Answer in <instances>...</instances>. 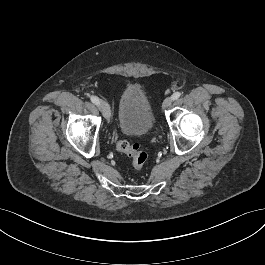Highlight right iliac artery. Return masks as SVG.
Here are the masks:
<instances>
[{"label":"right iliac artery","mask_w":265,"mask_h":265,"mask_svg":"<svg viewBox=\"0 0 265 265\" xmlns=\"http://www.w3.org/2000/svg\"><path fill=\"white\" fill-rule=\"evenodd\" d=\"M90 100L92 103L98 105L99 104V99L96 96H91Z\"/></svg>","instance_id":"obj_1"}]
</instances>
